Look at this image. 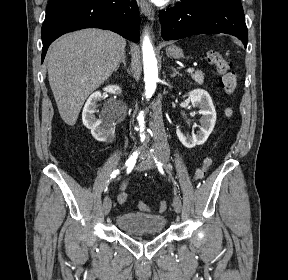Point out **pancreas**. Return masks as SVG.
Returning a JSON list of instances; mask_svg holds the SVG:
<instances>
[{"mask_svg":"<svg viewBox=\"0 0 288 280\" xmlns=\"http://www.w3.org/2000/svg\"><path fill=\"white\" fill-rule=\"evenodd\" d=\"M191 78L198 84H202L204 80V73L202 71H196L191 74Z\"/></svg>","mask_w":288,"mask_h":280,"instance_id":"1","label":"pancreas"}]
</instances>
